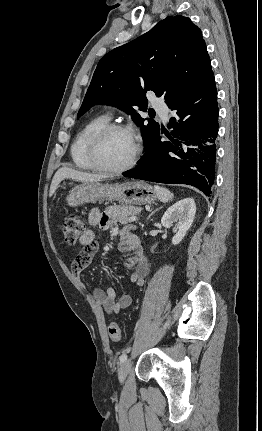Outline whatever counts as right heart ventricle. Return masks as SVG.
I'll return each mask as SVG.
<instances>
[{"label": "right heart ventricle", "mask_w": 262, "mask_h": 431, "mask_svg": "<svg viewBox=\"0 0 262 431\" xmlns=\"http://www.w3.org/2000/svg\"><path fill=\"white\" fill-rule=\"evenodd\" d=\"M109 123L107 115H98L90 119L75 136L70 155L74 166L83 171H96L97 169L89 159V145L92 137Z\"/></svg>", "instance_id": "right-heart-ventricle-1"}]
</instances>
